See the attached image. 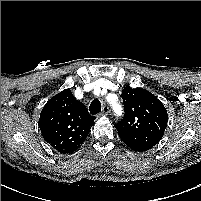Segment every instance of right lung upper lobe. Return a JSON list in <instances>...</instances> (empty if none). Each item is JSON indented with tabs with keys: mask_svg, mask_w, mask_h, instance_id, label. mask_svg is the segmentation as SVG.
Returning <instances> with one entry per match:
<instances>
[{
	"mask_svg": "<svg viewBox=\"0 0 201 201\" xmlns=\"http://www.w3.org/2000/svg\"><path fill=\"white\" fill-rule=\"evenodd\" d=\"M94 116L76 100L70 89L52 97L43 107L39 127L44 139L58 152L76 151L87 138Z\"/></svg>",
	"mask_w": 201,
	"mask_h": 201,
	"instance_id": "1",
	"label": "right lung upper lobe"
}]
</instances>
